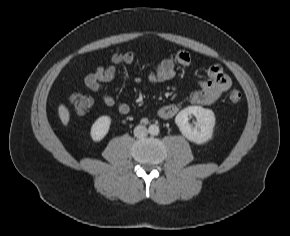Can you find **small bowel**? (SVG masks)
<instances>
[{
	"mask_svg": "<svg viewBox=\"0 0 290 236\" xmlns=\"http://www.w3.org/2000/svg\"><path fill=\"white\" fill-rule=\"evenodd\" d=\"M135 61L133 52H117L111 56V64L104 67H97L93 72L85 77L86 86L93 92L100 90L102 84L112 81L117 75V67L121 64L131 65ZM192 62L191 55L186 51H177L170 56L163 58L157 65L156 70L148 77L151 83H161L172 79L175 75L176 65L189 66ZM209 80H200V89L193 92L189 101L195 105H212L229 89L231 85L230 77L225 73L221 64L215 63L208 67ZM103 103L112 107L115 99L110 94L102 97ZM129 105L122 103L118 110L121 114L129 112ZM178 112V107L174 104H167L160 107L157 115L160 119L167 120L173 118Z\"/></svg>",
	"mask_w": 290,
	"mask_h": 236,
	"instance_id": "c3829d8e",
	"label": "small bowel"
}]
</instances>
